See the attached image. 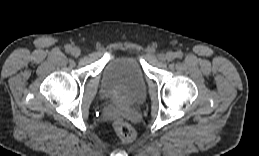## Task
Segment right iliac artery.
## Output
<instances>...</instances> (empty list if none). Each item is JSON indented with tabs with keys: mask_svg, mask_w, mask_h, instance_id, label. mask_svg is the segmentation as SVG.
Instances as JSON below:
<instances>
[{
	"mask_svg": "<svg viewBox=\"0 0 259 156\" xmlns=\"http://www.w3.org/2000/svg\"><path fill=\"white\" fill-rule=\"evenodd\" d=\"M71 49H72L71 45H66V46H65V50H66L67 52H70Z\"/></svg>",
	"mask_w": 259,
	"mask_h": 156,
	"instance_id": "1",
	"label": "right iliac artery"
}]
</instances>
